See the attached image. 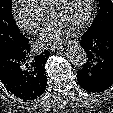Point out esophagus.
I'll return each mask as SVG.
<instances>
[{"label":"esophagus","instance_id":"1","mask_svg":"<svg viewBox=\"0 0 113 113\" xmlns=\"http://www.w3.org/2000/svg\"><path fill=\"white\" fill-rule=\"evenodd\" d=\"M77 43H78V41L72 40V41L63 43V45L62 46H59V48H63V46L71 45V44H77ZM59 48H57V49H59Z\"/></svg>","mask_w":113,"mask_h":113}]
</instances>
